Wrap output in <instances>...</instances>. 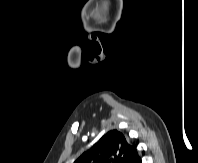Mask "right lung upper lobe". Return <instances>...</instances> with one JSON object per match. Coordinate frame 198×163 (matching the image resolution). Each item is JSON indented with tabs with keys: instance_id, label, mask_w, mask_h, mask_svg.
Listing matches in <instances>:
<instances>
[{
	"instance_id": "cb5924a9",
	"label": "right lung upper lobe",
	"mask_w": 198,
	"mask_h": 163,
	"mask_svg": "<svg viewBox=\"0 0 198 163\" xmlns=\"http://www.w3.org/2000/svg\"><path fill=\"white\" fill-rule=\"evenodd\" d=\"M74 163H141V159L121 132L111 130Z\"/></svg>"
}]
</instances>
